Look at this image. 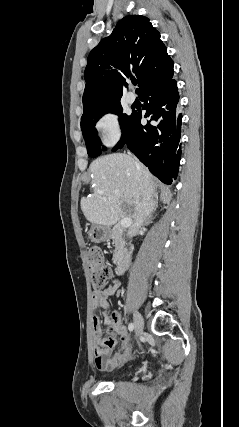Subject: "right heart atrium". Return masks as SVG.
Returning <instances> with one entry per match:
<instances>
[{"mask_svg":"<svg viewBox=\"0 0 239 427\" xmlns=\"http://www.w3.org/2000/svg\"><path fill=\"white\" fill-rule=\"evenodd\" d=\"M96 128L100 134L102 142L106 146H114L122 137V127L120 119L115 113L103 114L96 122Z\"/></svg>","mask_w":239,"mask_h":427,"instance_id":"d8ad5b80","label":"right heart atrium"}]
</instances>
